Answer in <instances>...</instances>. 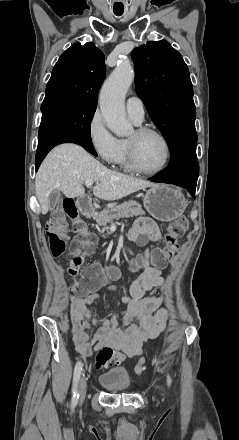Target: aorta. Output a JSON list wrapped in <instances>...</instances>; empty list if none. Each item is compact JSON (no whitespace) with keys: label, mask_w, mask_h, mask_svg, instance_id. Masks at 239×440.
Here are the masks:
<instances>
[{"label":"aorta","mask_w":239,"mask_h":440,"mask_svg":"<svg viewBox=\"0 0 239 440\" xmlns=\"http://www.w3.org/2000/svg\"><path fill=\"white\" fill-rule=\"evenodd\" d=\"M134 70L127 60H121L106 82L99 98L100 110L106 126L116 136H131L133 126L126 118L124 100L134 80Z\"/></svg>","instance_id":"aorta-1"}]
</instances>
